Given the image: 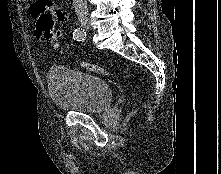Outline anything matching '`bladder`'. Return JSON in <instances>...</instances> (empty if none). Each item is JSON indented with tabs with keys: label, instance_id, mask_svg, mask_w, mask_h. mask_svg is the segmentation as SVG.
<instances>
[{
	"label": "bladder",
	"instance_id": "obj_1",
	"mask_svg": "<svg viewBox=\"0 0 221 174\" xmlns=\"http://www.w3.org/2000/svg\"><path fill=\"white\" fill-rule=\"evenodd\" d=\"M47 86L57 107L81 113L102 112L114 98L111 86L103 78L63 65L51 67Z\"/></svg>",
	"mask_w": 221,
	"mask_h": 174
}]
</instances>
